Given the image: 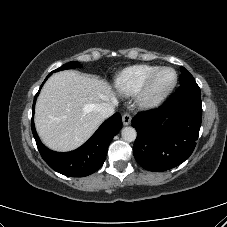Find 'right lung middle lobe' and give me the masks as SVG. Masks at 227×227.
<instances>
[{
  "label": "right lung middle lobe",
  "mask_w": 227,
  "mask_h": 227,
  "mask_svg": "<svg viewBox=\"0 0 227 227\" xmlns=\"http://www.w3.org/2000/svg\"><path fill=\"white\" fill-rule=\"evenodd\" d=\"M79 66H80L79 62L72 61V62L66 63L65 65L61 66L60 68L54 70L53 72H57V71L65 70V69H72V68H76Z\"/></svg>",
  "instance_id": "1"
}]
</instances>
